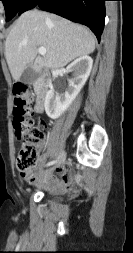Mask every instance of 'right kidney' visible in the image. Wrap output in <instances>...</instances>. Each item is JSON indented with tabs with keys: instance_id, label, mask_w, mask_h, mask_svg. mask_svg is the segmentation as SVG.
I'll list each match as a JSON object with an SVG mask.
<instances>
[{
	"instance_id": "ca27d5eb",
	"label": "right kidney",
	"mask_w": 133,
	"mask_h": 253,
	"mask_svg": "<svg viewBox=\"0 0 133 253\" xmlns=\"http://www.w3.org/2000/svg\"><path fill=\"white\" fill-rule=\"evenodd\" d=\"M92 66L93 60L88 55L77 58L67 66L66 73H73V77L68 80L65 93L58 95L50 90L45 98V111L50 118H59L68 109L86 83Z\"/></svg>"
}]
</instances>
